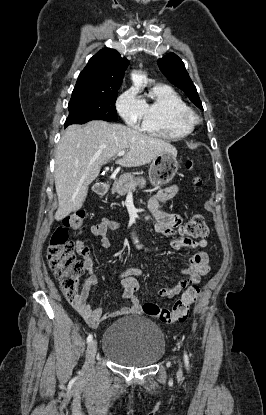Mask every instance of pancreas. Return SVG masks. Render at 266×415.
I'll use <instances>...</instances> for the list:
<instances>
[{
  "mask_svg": "<svg viewBox=\"0 0 266 415\" xmlns=\"http://www.w3.org/2000/svg\"><path fill=\"white\" fill-rule=\"evenodd\" d=\"M139 185V179L135 178L132 174L126 173L115 179L112 194L117 193L119 196L125 195L128 190H135Z\"/></svg>",
  "mask_w": 266,
  "mask_h": 415,
  "instance_id": "obj_1",
  "label": "pancreas"
}]
</instances>
